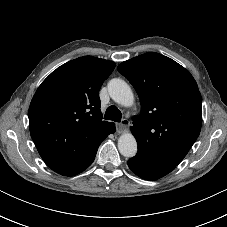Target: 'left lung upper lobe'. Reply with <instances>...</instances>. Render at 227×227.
<instances>
[{
	"label": "left lung upper lobe",
	"mask_w": 227,
	"mask_h": 227,
	"mask_svg": "<svg viewBox=\"0 0 227 227\" xmlns=\"http://www.w3.org/2000/svg\"><path fill=\"white\" fill-rule=\"evenodd\" d=\"M118 71L133 84L141 101L131 132L138 153L177 166L202 125V98L193 76L180 64L149 52L124 61Z\"/></svg>",
	"instance_id": "obj_1"
}]
</instances>
